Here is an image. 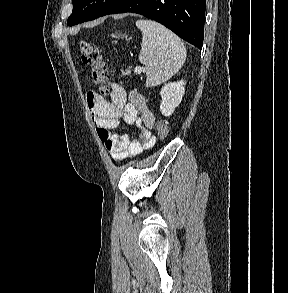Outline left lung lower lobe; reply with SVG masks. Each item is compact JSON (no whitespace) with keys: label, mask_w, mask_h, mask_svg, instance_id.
<instances>
[{"label":"left lung lower lobe","mask_w":288,"mask_h":293,"mask_svg":"<svg viewBox=\"0 0 288 293\" xmlns=\"http://www.w3.org/2000/svg\"><path fill=\"white\" fill-rule=\"evenodd\" d=\"M206 0H116L101 16L137 13L153 19L202 49Z\"/></svg>","instance_id":"0a47b994"}]
</instances>
